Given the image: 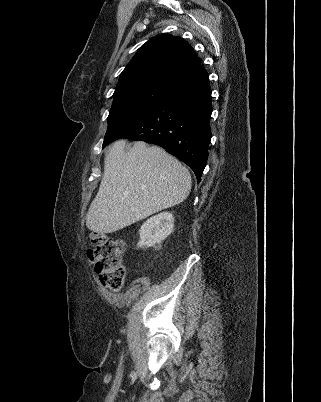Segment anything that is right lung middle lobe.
Masks as SVG:
<instances>
[{"label":"right lung middle lobe","instance_id":"1","mask_svg":"<svg viewBox=\"0 0 321 402\" xmlns=\"http://www.w3.org/2000/svg\"><path fill=\"white\" fill-rule=\"evenodd\" d=\"M171 87L161 83H148L115 92L103 146L160 103Z\"/></svg>","mask_w":321,"mask_h":402}]
</instances>
